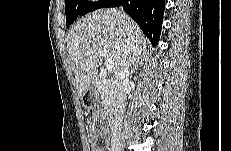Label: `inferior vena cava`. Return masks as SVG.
Here are the masks:
<instances>
[{"label":"inferior vena cava","mask_w":231,"mask_h":151,"mask_svg":"<svg viewBox=\"0 0 231 151\" xmlns=\"http://www.w3.org/2000/svg\"><path fill=\"white\" fill-rule=\"evenodd\" d=\"M119 13L122 18L126 17V14L123 11V8L119 9ZM131 48L129 43L125 50V58L122 60L121 65L118 69L116 78H115V99L113 103L112 117L110 120L111 126V144L116 146L120 142V134L122 129V120L126 107V91L129 88L128 78H129V68L130 63L128 57L130 55Z\"/></svg>","instance_id":"602c4592"}]
</instances>
